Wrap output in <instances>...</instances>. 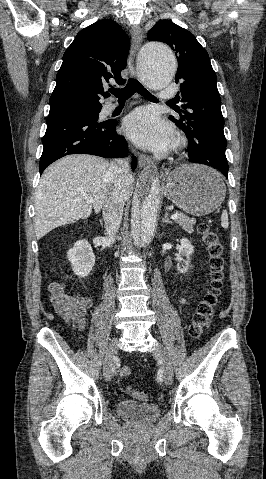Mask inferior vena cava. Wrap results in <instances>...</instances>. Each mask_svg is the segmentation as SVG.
I'll list each match as a JSON object with an SVG mask.
<instances>
[{
    "mask_svg": "<svg viewBox=\"0 0 266 479\" xmlns=\"http://www.w3.org/2000/svg\"><path fill=\"white\" fill-rule=\"evenodd\" d=\"M111 186L103 205V218L109 241L114 242V235L119 229L125 203V188L130 178L129 161L117 159L110 166Z\"/></svg>",
    "mask_w": 266,
    "mask_h": 479,
    "instance_id": "602c4592",
    "label": "inferior vena cava"
}]
</instances>
